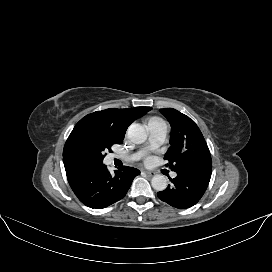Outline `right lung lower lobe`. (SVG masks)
<instances>
[{"label":"right lung lower lobe","mask_w":272,"mask_h":272,"mask_svg":"<svg viewBox=\"0 0 272 272\" xmlns=\"http://www.w3.org/2000/svg\"><path fill=\"white\" fill-rule=\"evenodd\" d=\"M139 173L138 169L123 166L111 175L104 164L66 170L75 195L83 204L95 209L105 208L122 199Z\"/></svg>","instance_id":"right-lung-lower-lobe-1"}]
</instances>
